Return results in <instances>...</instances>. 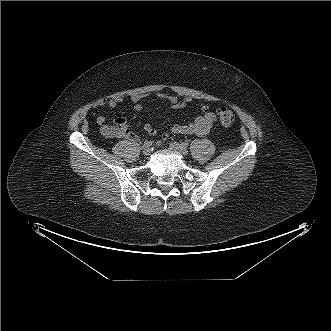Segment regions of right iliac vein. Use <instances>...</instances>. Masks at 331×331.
I'll list each match as a JSON object with an SVG mask.
<instances>
[{
  "instance_id": "obj_1",
  "label": "right iliac vein",
  "mask_w": 331,
  "mask_h": 331,
  "mask_svg": "<svg viewBox=\"0 0 331 331\" xmlns=\"http://www.w3.org/2000/svg\"><path fill=\"white\" fill-rule=\"evenodd\" d=\"M142 153L144 156H149L151 153V149L149 147L143 148Z\"/></svg>"
}]
</instances>
